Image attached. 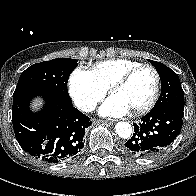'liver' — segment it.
<instances>
[{
	"label": "liver",
	"mask_w": 196,
	"mask_h": 196,
	"mask_svg": "<svg viewBox=\"0 0 196 196\" xmlns=\"http://www.w3.org/2000/svg\"><path fill=\"white\" fill-rule=\"evenodd\" d=\"M40 105H41V101L36 99L34 106L37 107V106H40Z\"/></svg>",
	"instance_id": "1"
}]
</instances>
